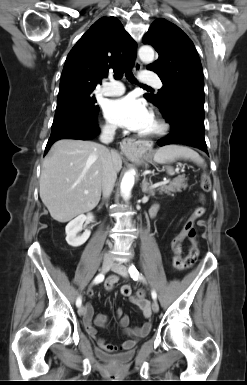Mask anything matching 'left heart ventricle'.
Listing matches in <instances>:
<instances>
[{
	"mask_svg": "<svg viewBox=\"0 0 247 385\" xmlns=\"http://www.w3.org/2000/svg\"><path fill=\"white\" fill-rule=\"evenodd\" d=\"M155 128H156V123H155L154 119L152 118V120H151L150 124L148 125V127L144 131H142V132L143 133H148V132L153 131Z\"/></svg>",
	"mask_w": 247,
	"mask_h": 385,
	"instance_id": "b2bd125f",
	"label": "left heart ventricle"
}]
</instances>
